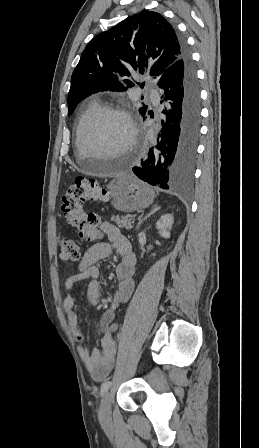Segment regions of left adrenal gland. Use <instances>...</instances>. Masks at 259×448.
Segmentation results:
<instances>
[{"mask_svg": "<svg viewBox=\"0 0 259 448\" xmlns=\"http://www.w3.org/2000/svg\"><path fill=\"white\" fill-rule=\"evenodd\" d=\"M157 210H160V208H157V206H155L154 210H151L150 214H148V216H145L144 220H146V218H149V216H152V214H155V212H157ZM143 220H139V224H137V228H140V224H142Z\"/></svg>", "mask_w": 259, "mask_h": 448, "instance_id": "obj_1", "label": "left adrenal gland"}]
</instances>
